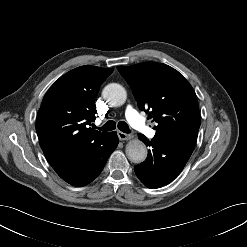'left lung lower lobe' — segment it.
<instances>
[{"label": "left lung lower lobe", "mask_w": 247, "mask_h": 247, "mask_svg": "<svg viewBox=\"0 0 247 247\" xmlns=\"http://www.w3.org/2000/svg\"><path fill=\"white\" fill-rule=\"evenodd\" d=\"M139 139L150 147L146 160L134 167L140 181L149 188H160L173 181L190 158L195 144L185 140L151 141L139 135Z\"/></svg>", "instance_id": "0a47b994"}]
</instances>
